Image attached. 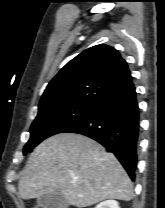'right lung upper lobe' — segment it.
Wrapping results in <instances>:
<instances>
[{"label": "right lung upper lobe", "mask_w": 165, "mask_h": 208, "mask_svg": "<svg viewBox=\"0 0 165 208\" xmlns=\"http://www.w3.org/2000/svg\"><path fill=\"white\" fill-rule=\"evenodd\" d=\"M132 81L126 61L108 45L84 50L68 62L48 84L39 108L64 103H97Z\"/></svg>", "instance_id": "right-lung-upper-lobe-1"}]
</instances>
